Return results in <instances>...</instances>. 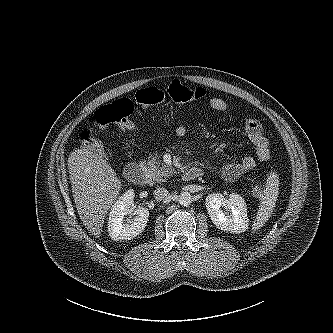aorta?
Segmentation results:
<instances>
[{
    "instance_id": "762f6f07",
    "label": "aorta",
    "mask_w": 333,
    "mask_h": 333,
    "mask_svg": "<svg viewBox=\"0 0 333 333\" xmlns=\"http://www.w3.org/2000/svg\"><path fill=\"white\" fill-rule=\"evenodd\" d=\"M178 202L182 206H188L192 203V195L189 192H181L178 196Z\"/></svg>"
}]
</instances>
